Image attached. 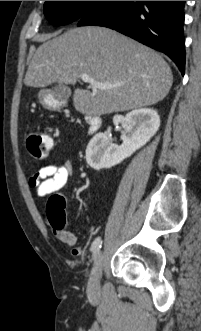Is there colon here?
Here are the masks:
<instances>
[{
	"instance_id": "1",
	"label": "colon",
	"mask_w": 201,
	"mask_h": 331,
	"mask_svg": "<svg viewBox=\"0 0 201 331\" xmlns=\"http://www.w3.org/2000/svg\"><path fill=\"white\" fill-rule=\"evenodd\" d=\"M26 147L30 155L36 160L47 158L52 149V140L49 135L41 131H32L26 139ZM63 203V197L59 194L54 195L49 202L50 209L54 212Z\"/></svg>"
}]
</instances>
